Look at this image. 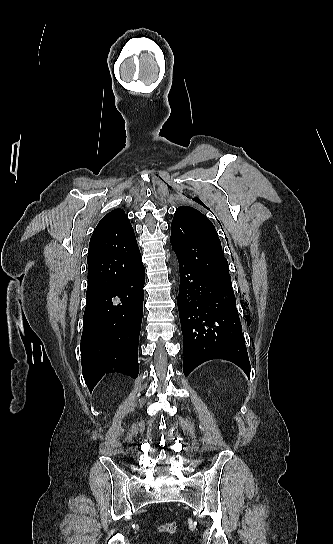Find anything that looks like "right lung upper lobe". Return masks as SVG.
Masks as SVG:
<instances>
[{"label":"right lung upper lobe","instance_id":"1","mask_svg":"<svg viewBox=\"0 0 333 544\" xmlns=\"http://www.w3.org/2000/svg\"><path fill=\"white\" fill-rule=\"evenodd\" d=\"M86 297L103 292L142 263L127 214L115 209L98 223L90 239Z\"/></svg>","mask_w":333,"mask_h":544}]
</instances>
